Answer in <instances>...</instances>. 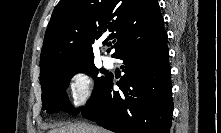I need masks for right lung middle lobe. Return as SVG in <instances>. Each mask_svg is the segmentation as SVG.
<instances>
[{
    "instance_id": "dd1d6c3e",
    "label": "right lung middle lobe",
    "mask_w": 221,
    "mask_h": 133,
    "mask_svg": "<svg viewBox=\"0 0 221 133\" xmlns=\"http://www.w3.org/2000/svg\"><path fill=\"white\" fill-rule=\"evenodd\" d=\"M79 72L86 73L94 78L95 89L92 97L108 78L107 75H99L100 69L95 67L94 62H71L49 66L40 74L43 109H46L48 113L64 111L69 114L77 115L80 112L81 108L74 109L69 104L65 92L72 76Z\"/></svg>"
}]
</instances>
